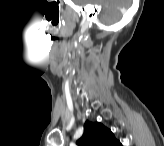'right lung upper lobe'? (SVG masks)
Segmentation results:
<instances>
[{
    "label": "right lung upper lobe",
    "mask_w": 164,
    "mask_h": 146,
    "mask_svg": "<svg viewBox=\"0 0 164 146\" xmlns=\"http://www.w3.org/2000/svg\"><path fill=\"white\" fill-rule=\"evenodd\" d=\"M79 146H120L113 133L101 123L85 122L84 134L77 141Z\"/></svg>",
    "instance_id": "obj_1"
}]
</instances>
